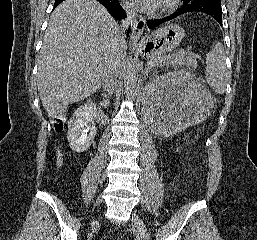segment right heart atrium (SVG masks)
Here are the masks:
<instances>
[{
  "label": "right heart atrium",
  "mask_w": 257,
  "mask_h": 240,
  "mask_svg": "<svg viewBox=\"0 0 257 240\" xmlns=\"http://www.w3.org/2000/svg\"><path fill=\"white\" fill-rule=\"evenodd\" d=\"M124 7L128 12H133V9L129 4H125Z\"/></svg>",
  "instance_id": "d8ad5b80"
}]
</instances>
